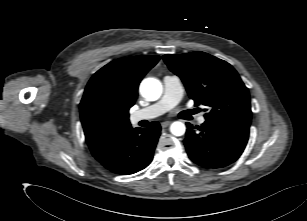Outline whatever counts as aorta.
Masks as SVG:
<instances>
[{
	"label": "aorta",
	"mask_w": 307,
	"mask_h": 221,
	"mask_svg": "<svg viewBox=\"0 0 307 221\" xmlns=\"http://www.w3.org/2000/svg\"><path fill=\"white\" fill-rule=\"evenodd\" d=\"M140 93L145 99L156 101L162 94V84L158 79L146 78L140 84ZM185 131V124L180 121H175L170 126V132L174 136H182Z\"/></svg>",
	"instance_id": "aorta-1"
}]
</instances>
